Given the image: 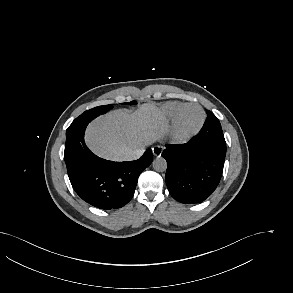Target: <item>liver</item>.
<instances>
[{"label":"liver","mask_w":293,"mask_h":293,"mask_svg":"<svg viewBox=\"0 0 293 293\" xmlns=\"http://www.w3.org/2000/svg\"><path fill=\"white\" fill-rule=\"evenodd\" d=\"M167 128L160 109L143 104L134 113L114 110L91 122L86 130L88 147L98 156L125 161L130 150L145 148L159 140Z\"/></svg>","instance_id":"1"}]
</instances>
